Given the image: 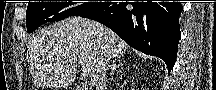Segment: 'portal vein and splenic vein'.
Instances as JSON below:
<instances>
[{"label": "portal vein and splenic vein", "mask_w": 216, "mask_h": 90, "mask_svg": "<svg viewBox=\"0 0 216 90\" xmlns=\"http://www.w3.org/2000/svg\"><path fill=\"white\" fill-rule=\"evenodd\" d=\"M80 64H81V62H80ZM85 76H88V74H83V78H85Z\"/></svg>", "instance_id": "obj_1"}]
</instances>
